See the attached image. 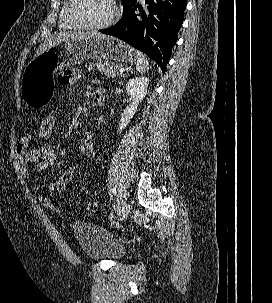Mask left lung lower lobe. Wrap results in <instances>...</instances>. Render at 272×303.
I'll use <instances>...</instances> for the list:
<instances>
[{
  "label": "left lung lower lobe",
  "instance_id": "left-lung-lower-lobe-1",
  "mask_svg": "<svg viewBox=\"0 0 272 303\" xmlns=\"http://www.w3.org/2000/svg\"><path fill=\"white\" fill-rule=\"evenodd\" d=\"M145 3L148 4L146 10L135 3L124 11L116 25L100 32L146 53L165 72L183 23L186 0H145Z\"/></svg>",
  "mask_w": 272,
  "mask_h": 303
}]
</instances>
